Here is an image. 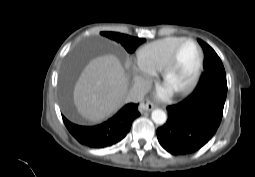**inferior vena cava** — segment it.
<instances>
[{
	"mask_svg": "<svg viewBox=\"0 0 255 177\" xmlns=\"http://www.w3.org/2000/svg\"><path fill=\"white\" fill-rule=\"evenodd\" d=\"M149 86L147 83H137L128 92L125 97L127 102H140L143 100L144 95L148 92Z\"/></svg>",
	"mask_w": 255,
	"mask_h": 177,
	"instance_id": "602c4592",
	"label": "inferior vena cava"
}]
</instances>
